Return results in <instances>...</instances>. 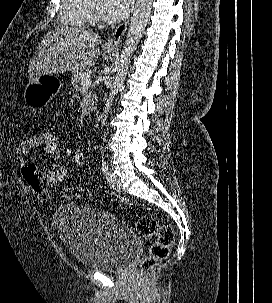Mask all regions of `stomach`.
Returning <instances> with one entry per match:
<instances>
[{
    "label": "stomach",
    "instance_id": "obj_1",
    "mask_svg": "<svg viewBox=\"0 0 272 303\" xmlns=\"http://www.w3.org/2000/svg\"><path fill=\"white\" fill-rule=\"evenodd\" d=\"M112 52L113 49L106 48ZM60 84L56 77L39 76L27 83L24 89V102L33 109L45 107L59 92Z\"/></svg>",
    "mask_w": 272,
    "mask_h": 303
}]
</instances>
